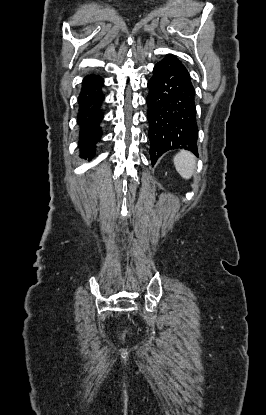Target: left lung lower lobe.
<instances>
[{
  "label": "left lung lower lobe",
  "mask_w": 266,
  "mask_h": 415,
  "mask_svg": "<svg viewBox=\"0 0 266 415\" xmlns=\"http://www.w3.org/2000/svg\"><path fill=\"white\" fill-rule=\"evenodd\" d=\"M148 88L152 164L173 149H186L197 155L195 89L187 69L177 58L168 55L155 65Z\"/></svg>",
  "instance_id": "1"
}]
</instances>
